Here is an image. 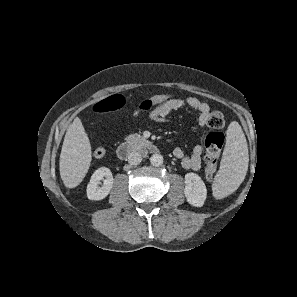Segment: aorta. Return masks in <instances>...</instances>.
Listing matches in <instances>:
<instances>
[{
  "instance_id": "1",
  "label": "aorta",
  "mask_w": 297,
  "mask_h": 297,
  "mask_svg": "<svg viewBox=\"0 0 297 297\" xmlns=\"http://www.w3.org/2000/svg\"><path fill=\"white\" fill-rule=\"evenodd\" d=\"M150 163L153 166H155V167L161 166L163 164V157H162V155H160V154H153L150 157Z\"/></svg>"
}]
</instances>
